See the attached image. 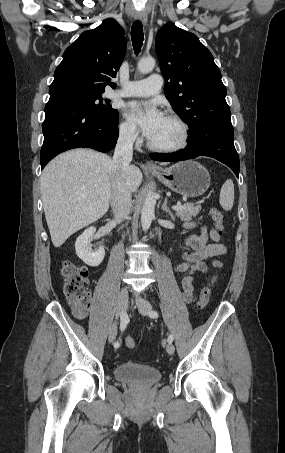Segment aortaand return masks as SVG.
<instances>
[{"label": "aorta", "instance_id": "aorta-1", "mask_svg": "<svg viewBox=\"0 0 285 453\" xmlns=\"http://www.w3.org/2000/svg\"><path fill=\"white\" fill-rule=\"evenodd\" d=\"M156 61L152 57H145L140 59L137 68L140 73L147 74L155 67ZM156 205V198L153 192L147 194L144 205L141 211V226L144 231L148 230L151 226L152 219L154 218Z\"/></svg>", "mask_w": 285, "mask_h": 453}]
</instances>
